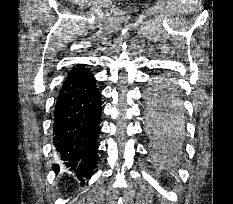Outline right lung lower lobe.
<instances>
[{
	"instance_id": "obj_1",
	"label": "right lung lower lobe",
	"mask_w": 233,
	"mask_h": 204,
	"mask_svg": "<svg viewBox=\"0 0 233 204\" xmlns=\"http://www.w3.org/2000/svg\"><path fill=\"white\" fill-rule=\"evenodd\" d=\"M88 70L74 67L65 79L54 112V145L67 167L82 180L96 163L101 93ZM53 168L59 171V165Z\"/></svg>"
}]
</instances>
